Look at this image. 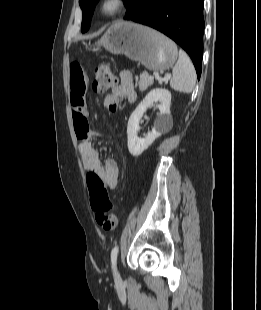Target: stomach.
<instances>
[{
    "label": "stomach",
    "mask_w": 261,
    "mask_h": 310,
    "mask_svg": "<svg viewBox=\"0 0 261 310\" xmlns=\"http://www.w3.org/2000/svg\"><path fill=\"white\" fill-rule=\"evenodd\" d=\"M98 45L112 54H123L151 71H164L177 60L176 45L161 33L133 22L119 21L110 26Z\"/></svg>",
    "instance_id": "obj_1"
}]
</instances>
